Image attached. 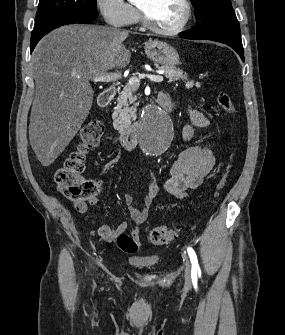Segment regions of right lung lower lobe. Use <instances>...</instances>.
<instances>
[{"instance_id":"right-lung-lower-lobe-1","label":"right lung lower lobe","mask_w":285,"mask_h":335,"mask_svg":"<svg viewBox=\"0 0 285 335\" xmlns=\"http://www.w3.org/2000/svg\"><path fill=\"white\" fill-rule=\"evenodd\" d=\"M96 17L88 16L79 13H61L48 17L40 22H35L34 29L31 36L30 49L31 52L35 48L38 41L51 30L60 26L73 23H89Z\"/></svg>"}]
</instances>
